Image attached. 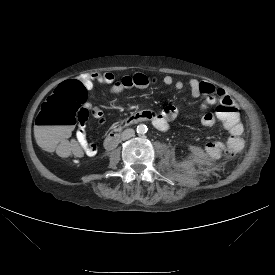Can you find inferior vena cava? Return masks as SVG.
<instances>
[{
	"label": "inferior vena cava",
	"instance_id": "602c4592",
	"mask_svg": "<svg viewBox=\"0 0 275 275\" xmlns=\"http://www.w3.org/2000/svg\"><path fill=\"white\" fill-rule=\"evenodd\" d=\"M135 135V131L133 129H126L121 134L122 140H127Z\"/></svg>",
	"mask_w": 275,
	"mask_h": 275
}]
</instances>
